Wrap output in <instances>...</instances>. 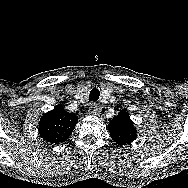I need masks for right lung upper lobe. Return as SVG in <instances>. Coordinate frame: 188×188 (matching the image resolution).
Masks as SVG:
<instances>
[{"mask_svg":"<svg viewBox=\"0 0 188 188\" xmlns=\"http://www.w3.org/2000/svg\"><path fill=\"white\" fill-rule=\"evenodd\" d=\"M78 117L64 110L60 105L45 113L39 122L40 136L51 144H59L69 138Z\"/></svg>","mask_w":188,"mask_h":188,"instance_id":"right-lung-upper-lobe-1","label":"right lung upper lobe"}]
</instances>
